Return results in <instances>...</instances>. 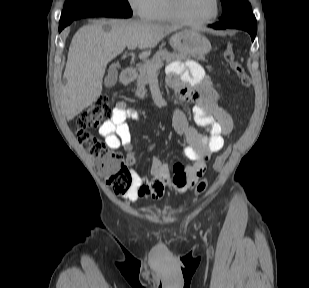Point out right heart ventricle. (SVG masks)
Returning a JSON list of instances; mask_svg holds the SVG:
<instances>
[{
  "label": "right heart ventricle",
  "instance_id": "e07e8e85",
  "mask_svg": "<svg viewBox=\"0 0 309 288\" xmlns=\"http://www.w3.org/2000/svg\"><path fill=\"white\" fill-rule=\"evenodd\" d=\"M149 19L157 22H176L170 9L169 0H155Z\"/></svg>",
  "mask_w": 309,
  "mask_h": 288
}]
</instances>
